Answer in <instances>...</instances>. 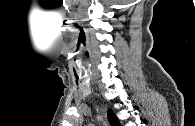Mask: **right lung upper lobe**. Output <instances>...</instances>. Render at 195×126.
Here are the masks:
<instances>
[{"label": "right lung upper lobe", "mask_w": 195, "mask_h": 126, "mask_svg": "<svg viewBox=\"0 0 195 126\" xmlns=\"http://www.w3.org/2000/svg\"><path fill=\"white\" fill-rule=\"evenodd\" d=\"M108 117L110 119V123L112 124V126H120L118 118L116 117L114 112H112L111 109L108 111Z\"/></svg>", "instance_id": "right-lung-upper-lobe-1"}]
</instances>
